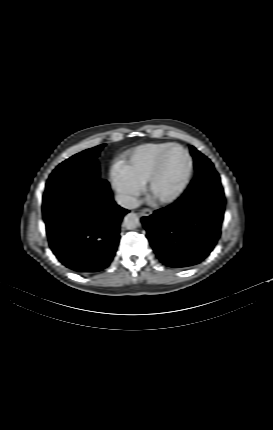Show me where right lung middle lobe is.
<instances>
[{"label":"right lung middle lobe","mask_w":273,"mask_h":430,"mask_svg":"<svg viewBox=\"0 0 273 430\" xmlns=\"http://www.w3.org/2000/svg\"><path fill=\"white\" fill-rule=\"evenodd\" d=\"M104 145L87 149L61 163L47 181L43 202L54 199L70 190L100 182L102 179L99 174L97 157Z\"/></svg>","instance_id":"1"}]
</instances>
